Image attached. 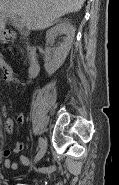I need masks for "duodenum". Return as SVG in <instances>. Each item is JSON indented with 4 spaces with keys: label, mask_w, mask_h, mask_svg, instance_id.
Returning a JSON list of instances; mask_svg holds the SVG:
<instances>
[{
    "label": "duodenum",
    "mask_w": 119,
    "mask_h": 185,
    "mask_svg": "<svg viewBox=\"0 0 119 185\" xmlns=\"http://www.w3.org/2000/svg\"><path fill=\"white\" fill-rule=\"evenodd\" d=\"M8 38L13 39L15 38V34L13 32L8 33ZM40 71V63L38 59V55L36 51H32L30 64L27 70L28 77L33 78L35 77Z\"/></svg>",
    "instance_id": "obj_1"
}]
</instances>
